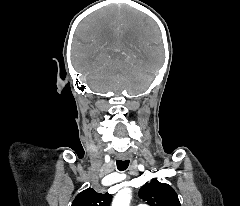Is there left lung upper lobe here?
<instances>
[{"mask_svg":"<svg viewBox=\"0 0 240 206\" xmlns=\"http://www.w3.org/2000/svg\"><path fill=\"white\" fill-rule=\"evenodd\" d=\"M139 195L150 206H181L172 187L157 180L146 183L141 187Z\"/></svg>","mask_w":240,"mask_h":206,"instance_id":"5c2ea615","label":"left lung upper lobe"}]
</instances>
